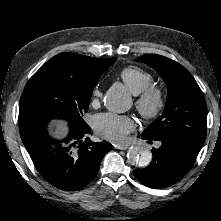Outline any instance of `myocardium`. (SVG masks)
<instances>
[{"label":"myocardium","mask_w":221,"mask_h":221,"mask_svg":"<svg viewBox=\"0 0 221 221\" xmlns=\"http://www.w3.org/2000/svg\"><path fill=\"white\" fill-rule=\"evenodd\" d=\"M166 106L165 95L163 91L156 86H149L138 94L135 107L139 115L146 120L157 119Z\"/></svg>","instance_id":"f54148a6"}]
</instances>
